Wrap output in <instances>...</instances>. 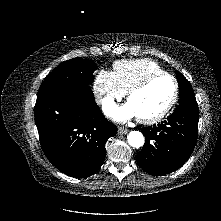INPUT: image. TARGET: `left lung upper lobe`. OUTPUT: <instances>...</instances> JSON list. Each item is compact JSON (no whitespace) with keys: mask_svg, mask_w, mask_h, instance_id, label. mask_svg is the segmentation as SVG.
<instances>
[{"mask_svg":"<svg viewBox=\"0 0 221 221\" xmlns=\"http://www.w3.org/2000/svg\"><path fill=\"white\" fill-rule=\"evenodd\" d=\"M176 75L180 88L179 105H177L176 110L183 108L198 109L191 84L180 72L176 71Z\"/></svg>","mask_w":221,"mask_h":221,"instance_id":"obj_1","label":"left lung upper lobe"}]
</instances>
